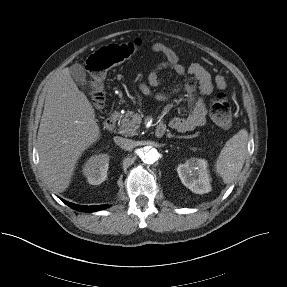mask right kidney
I'll return each mask as SVG.
<instances>
[{"instance_id": "1", "label": "right kidney", "mask_w": 287, "mask_h": 287, "mask_svg": "<svg viewBox=\"0 0 287 287\" xmlns=\"http://www.w3.org/2000/svg\"><path fill=\"white\" fill-rule=\"evenodd\" d=\"M109 156L99 154L91 156L83 166V174L91 185H99L107 178Z\"/></svg>"}]
</instances>
